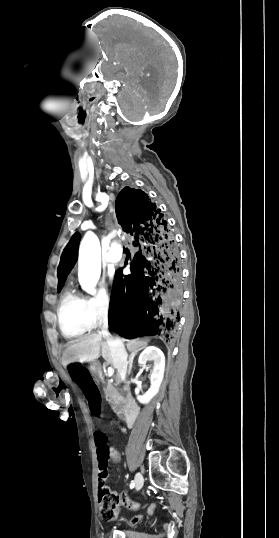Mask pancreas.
Segmentation results:
<instances>
[{
    "instance_id": "obj_1",
    "label": "pancreas",
    "mask_w": 279,
    "mask_h": 538,
    "mask_svg": "<svg viewBox=\"0 0 279 538\" xmlns=\"http://www.w3.org/2000/svg\"><path fill=\"white\" fill-rule=\"evenodd\" d=\"M103 382H106L103 392L105 394V398L111 406H116L117 402H120L122 396L119 394L117 388H114L113 384L109 382V380H103Z\"/></svg>"
}]
</instances>
